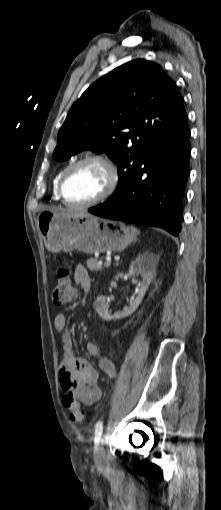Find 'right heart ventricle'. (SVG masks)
Segmentation results:
<instances>
[{
  "label": "right heart ventricle",
  "instance_id": "right-heart-ventricle-1",
  "mask_svg": "<svg viewBox=\"0 0 221 510\" xmlns=\"http://www.w3.org/2000/svg\"><path fill=\"white\" fill-rule=\"evenodd\" d=\"M64 169L65 168L60 169L57 172V174L55 175L54 179H53L52 187H53V196H54L55 199H59L57 188H58V183H59L60 176H61V174H62Z\"/></svg>",
  "mask_w": 221,
  "mask_h": 510
}]
</instances>
